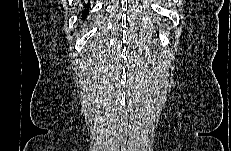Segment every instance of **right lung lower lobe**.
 Listing matches in <instances>:
<instances>
[{
	"mask_svg": "<svg viewBox=\"0 0 231 151\" xmlns=\"http://www.w3.org/2000/svg\"><path fill=\"white\" fill-rule=\"evenodd\" d=\"M89 9H90V4H89V1H88V3H86V4L84 5V9H83V11H82V18H83V19H85L86 16L88 15Z\"/></svg>",
	"mask_w": 231,
	"mask_h": 151,
	"instance_id": "right-lung-lower-lobe-1",
	"label": "right lung lower lobe"
}]
</instances>
